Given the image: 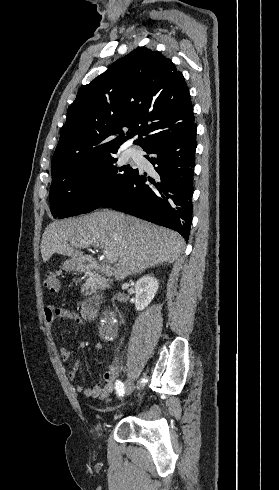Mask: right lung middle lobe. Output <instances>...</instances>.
<instances>
[{
    "instance_id": "dd1d6c3e",
    "label": "right lung middle lobe",
    "mask_w": 279,
    "mask_h": 490,
    "mask_svg": "<svg viewBox=\"0 0 279 490\" xmlns=\"http://www.w3.org/2000/svg\"><path fill=\"white\" fill-rule=\"evenodd\" d=\"M117 151H109L65 176L52 179L50 205L54 218L76 216L100 208L125 182L138 174V169L118 162Z\"/></svg>"
}]
</instances>
